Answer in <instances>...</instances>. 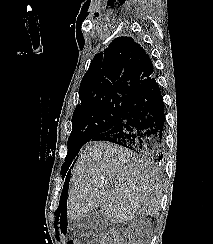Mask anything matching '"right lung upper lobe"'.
Instances as JSON below:
<instances>
[{
    "mask_svg": "<svg viewBox=\"0 0 213 244\" xmlns=\"http://www.w3.org/2000/svg\"><path fill=\"white\" fill-rule=\"evenodd\" d=\"M153 75L151 59L139 43L132 37L115 38L93 58L80 84L77 107L108 95L133 97Z\"/></svg>",
    "mask_w": 213,
    "mask_h": 244,
    "instance_id": "obj_1",
    "label": "right lung upper lobe"
}]
</instances>
